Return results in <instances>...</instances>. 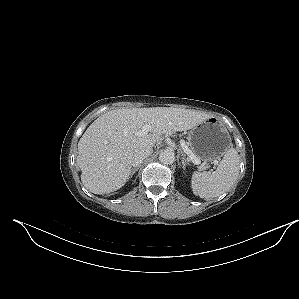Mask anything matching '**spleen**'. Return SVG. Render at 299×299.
Masks as SVG:
<instances>
[{
	"mask_svg": "<svg viewBox=\"0 0 299 299\" xmlns=\"http://www.w3.org/2000/svg\"><path fill=\"white\" fill-rule=\"evenodd\" d=\"M239 155L234 148L224 154L216 171H195L191 178L193 193L200 198H215L226 192L237 180Z\"/></svg>",
	"mask_w": 299,
	"mask_h": 299,
	"instance_id": "3e777b00",
	"label": "spleen"
}]
</instances>
